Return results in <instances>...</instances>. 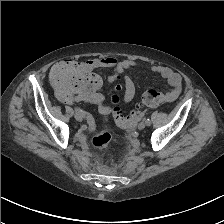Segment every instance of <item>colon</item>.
Masks as SVG:
<instances>
[{"mask_svg": "<svg viewBox=\"0 0 224 224\" xmlns=\"http://www.w3.org/2000/svg\"><path fill=\"white\" fill-rule=\"evenodd\" d=\"M50 81L60 100L67 104L93 101L101 86V79L96 73L71 60L55 64L50 71ZM119 92L120 86L116 85L111 96L113 104L111 112L119 127L129 128L137 119V111H132L127 117L121 114ZM163 101H165L164 94L149 90L143 95L141 106H156ZM111 140V133L107 128H103L93 136L92 143L95 147L104 149L109 146Z\"/></svg>", "mask_w": 224, "mask_h": 224, "instance_id": "colon-1", "label": "colon"}]
</instances>
